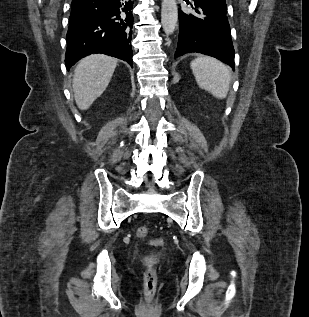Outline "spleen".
<instances>
[{"instance_id":"obj_1","label":"spleen","mask_w":309,"mask_h":317,"mask_svg":"<svg viewBox=\"0 0 309 317\" xmlns=\"http://www.w3.org/2000/svg\"><path fill=\"white\" fill-rule=\"evenodd\" d=\"M190 67L200 88L218 99L226 98L231 82L230 70L226 65L211 57H198Z\"/></svg>"}]
</instances>
